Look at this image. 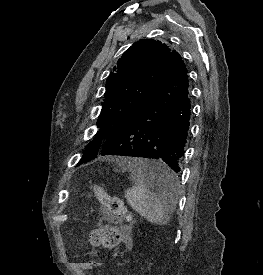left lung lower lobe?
<instances>
[{
  "mask_svg": "<svg viewBox=\"0 0 263 275\" xmlns=\"http://www.w3.org/2000/svg\"><path fill=\"white\" fill-rule=\"evenodd\" d=\"M190 119L187 69L176 53L157 87L121 130L104 142L99 155L144 157L166 163L170 173L144 171L147 182L166 192L172 188L175 173L180 172Z\"/></svg>",
  "mask_w": 263,
  "mask_h": 275,
  "instance_id": "left-lung-lower-lobe-1",
  "label": "left lung lower lobe"
}]
</instances>
